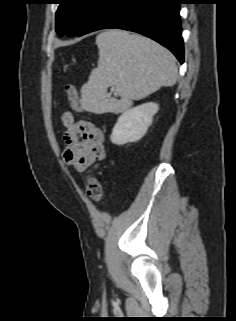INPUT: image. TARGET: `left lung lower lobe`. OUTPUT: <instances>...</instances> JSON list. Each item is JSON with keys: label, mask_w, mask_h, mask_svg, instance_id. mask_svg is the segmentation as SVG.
<instances>
[{"label": "left lung lower lobe", "mask_w": 236, "mask_h": 321, "mask_svg": "<svg viewBox=\"0 0 236 321\" xmlns=\"http://www.w3.org/2000/svg\"><path fill=\"white\" fill-rule=\"evenodd\" d=\"M183 0H104L78 36L106 28L145 35L184 61L180 4Z\"/></svg>", "instance_id": "left-lung-lower-lobe-1"}]
</instances>
